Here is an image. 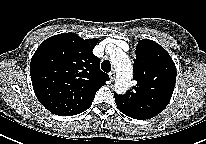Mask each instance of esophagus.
Returning a JSON list of instances; mask_svg holds the SVG:
<instances>
[{"mask_svg":"<svg viewBox=\"0 0 206 144\" xmlns=\"http://www.w3.org/2000/svg\"><path fill=\"white\" fill-rule=\"evenodd\" d=\"M115 76H116V74H115L114 71H111V72L109 73V77H110V80H111V81H113V80L115 79Z\"/></svg>","mask_w":206,"mask_h":144,"instance_id":"1","label":"esophagus"}]
</instances>
